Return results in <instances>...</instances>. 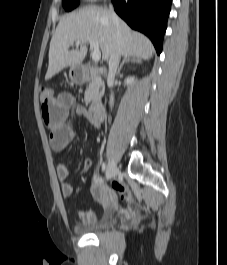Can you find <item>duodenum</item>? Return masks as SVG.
<instances>
[{"label":"duodenum","instance_id":"obj_1","mask_svg":"<svg viewBox=\"0 0 227 265\" xmlns=\"http://www.w3.org/2000/svg\"><path fill=\"white\" fill-rule=\"evenodd\" d=\"M92 71L93 69L90 66L88 65L82 66L77 72L76 81L79 83L87 81ZM89 113L92 115L93 118H95L98 121L102 119L104 110L102 102L99 98H95L91 102L89 106Z\"/></svg>","mask_w":227,"mask_h":265}]
</instances>
